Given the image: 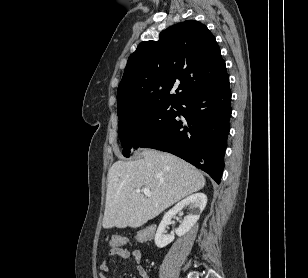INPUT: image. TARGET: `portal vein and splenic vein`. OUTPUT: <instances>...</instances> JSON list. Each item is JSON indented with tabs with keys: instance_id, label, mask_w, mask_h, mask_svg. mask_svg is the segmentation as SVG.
<instances>
[{
	"instance_id": "18ae733b",
	"label": "portal vein and splenic vein",
	"mask_w": 308,
	"mask_h": 278,
	"mask_svg": "<svg viewBox=\"0 0 308 278\" xmlns=\"http://www.w3.org/2000/svg\"><path fill=\"white\" fill-rule=\"evenodd\" d=\"M135 192L136 193L143 192L146 196L151 197V192H150V189L148 187H144L141 190L138 189Z\"/></svg>"
}]
</instances>
